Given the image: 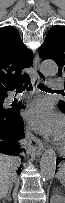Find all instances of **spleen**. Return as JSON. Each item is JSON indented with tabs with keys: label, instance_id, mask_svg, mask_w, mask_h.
<instances>
[{
	"label": "spleen",
	"instance_id": "spleen-1",
	"mask_svg": "<svg viewBox=\"0 0 65 203\" xmlns=\"http://www.w3.org/2000/svg\"><path fill=\"white\" fill-rule=\"evenodd\" d=\"M63 174H64V169L61 168V169L59 170L58 177H62Z\"/></svg>",
	"mask_w": 65,
	"mask_h": 203
}]
</instances>
